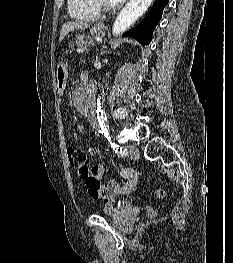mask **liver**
Returning <instances> with one entry per match:
<instances>
[{"instance_id": "6515ba94", "label": "liver", "mask_w": 233, "mask_h": 263, "mask_svg": "<svg viewBox=\"0 0 233 263\" xmlns=\"http://www.w3.org/2000/svg\"><path fill=\"white\" fill-rule=\"evenodd\" d=\"M87 28H89V23L83 21L67 22L61 28L59 41H62L64 37L71 31Z\"/></svg>"}]
</instances>
